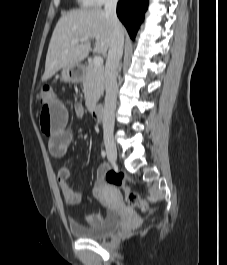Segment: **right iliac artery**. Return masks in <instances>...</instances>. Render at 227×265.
<instances>
[{"label":"right iliac artery","instance_id":"82829eb1","mask_svg":"<svg viewBox=\"0 0 227 265\" xmlns=\"http://www.w3.org/2000/svg\"><path fill=\"white\" fill-rule=\"evenodd\" d=\"M101 155H102V157H103V158H105V156H106V153H105V151H104V150L101 152Z\"/></svg>","mask_w":227,"mask_h":265}]
</instances>
